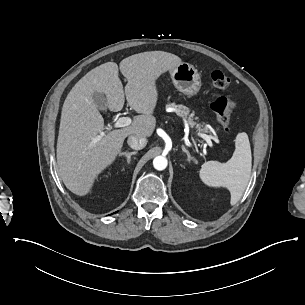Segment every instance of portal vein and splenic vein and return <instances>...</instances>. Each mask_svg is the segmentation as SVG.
Returning <instances> with one entry per match:
<instances>
[{"mask_svg":"<svg viewBox=\"0 0 305 305\" xmlns=\"http://www.w3.org/2000/svg\"><path fill=\"white\" fill-rule=\"evenodd\" d=\"M175 109V108H173ZM176 113L179 112V110L175 109ZM130 123V119L128 117H119V119L117 121H113L112 125L110 126V129H117V128H121V127H125L128 126ZM107 135V131L105 132H101L98 136H97V140H101L103 137H105ZM203 138L207 141L208 145L210 148H213V143L210 140V136L208 135H203Z\"/></svg>","mask_w":305,"mask_h":305,"instance_id":"18ae733b","label":"portal vein and splenic vein"}]
</instances>
